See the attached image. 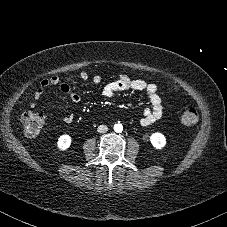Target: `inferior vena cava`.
<instances>
[{"instance_id": "602c4592", "label": "inferior vena cava", "mask_w": 227, "mask_h": 227, "mask_svg": "<svg viewBox=\"0 0 227 227\" xmlns=\"http://www.w3.org/2000/svg\"><path fill=\"white\" fill-rule=\"evenodd\" d=\"M97 131L99 133H105L108 131V127L106 125H100V126H98Z\"/></svg>"}]
</instances>
